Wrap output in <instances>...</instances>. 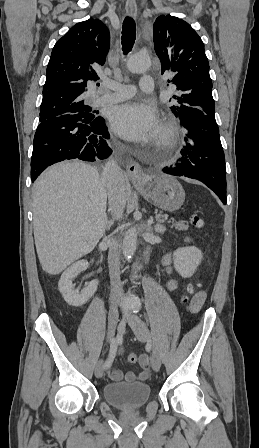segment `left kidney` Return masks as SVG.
<instances>
[{"mask_svg":"<svg viewBox=\"0 0 259 448\" xmlns=\"http://www.w3.org/2000/svg\"><path fill=\"white\" fill-rule=\"evenodd\" d=\"M173 256L174 268L182 278H191L202 260V252L195 246L178 248Z\"/></svg>","mask_w":259,"mask_h":448,"instance_id":"1","label":"left kidney"}]
</instances>
